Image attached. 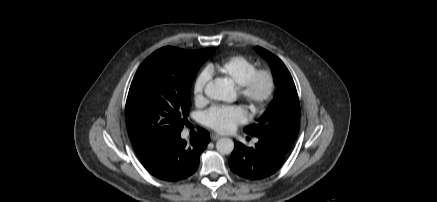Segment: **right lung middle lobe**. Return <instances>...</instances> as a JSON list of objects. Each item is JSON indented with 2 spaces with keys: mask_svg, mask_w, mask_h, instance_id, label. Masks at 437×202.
Masks as SVG:
<instances>
[{
  "mask_svg": "<svg viewBox=\"0 0 437 202\" xmlns=\"http://www.w3.org/2000/svg\"><path fill=\"white\" fill-rule=\"evenodd\" d=\"M213 51L164 47L140 65L125 108L128 130L138 154L182 131L191 107L193 79Z\"/></svg>",
  "mask_w": 437,
  "mask_h": 202,
  "instance_id": "obj_1",
  "label": "right lung middle lobe"
}]
</instances>
